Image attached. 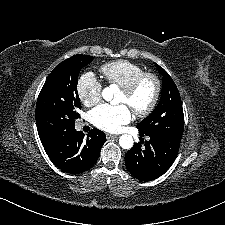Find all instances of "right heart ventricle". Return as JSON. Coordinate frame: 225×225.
<instances>
[{
    "mask_svg": "<svg viewBox=\"0 0 225 225\" xmlns=\"http://www.w3.org/2000/svg\"><path fill=\"white\" fill-rule=\"evenodd\" d=\"M100 71L108 83L122 88L134 77L143 73L144 69L140 65L127 60H115L103 64Z\"/></svg>",
    "mask_w": 225,
    "mask_h": 225,
    "instance_id": "right-heart-ventricle-1",
    "label": "right heart ventricle"
}]
</instances>
